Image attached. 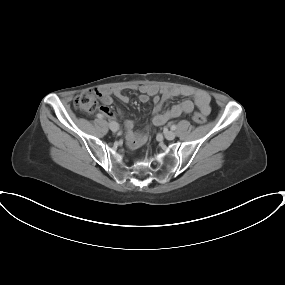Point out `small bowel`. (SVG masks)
Here are the masks:
<instances>
[{
	"mask_svg": "<svg viewBox=\"0 0 285 285\" xmlns=\"http://www.w3.org/2000/svg\"><path fill=\"white\" fill-rule=\"evenodd\" d=\"M132 89L139 90V101L142 103L148 102L150 97H153L154 108L152 121L155 125H163L173 118H177L183 114H189L194 109V106H197L205 115H208L211 111V99L205 93H195L193 95V100H183L180 103L172 106L169 110L161 112L162 104L166 100L178 96L181 93L180 91L171 88L160 89L156 85H141L139 87L134 86ZM100 92L101 101L104 105L101 107V112L109 119L114 117V113L108 107L113 103L112 96L117 97L123 103H127L129 101V97L123 92L121 87L103 88L100 90ZM119 113H122L121 109H119ZM134 125V120H127L124 123L128 145L132 148H137L146 142L147 133L133 132Z\"/></svg>",
	"mask_w": 285,
	"mask_h": 285,
	"instance_id": "c3829d8e",
	"label": "small bowel"
}]
</instances>
